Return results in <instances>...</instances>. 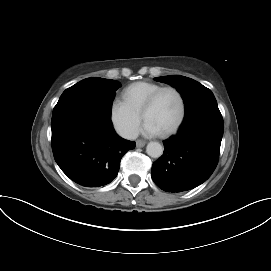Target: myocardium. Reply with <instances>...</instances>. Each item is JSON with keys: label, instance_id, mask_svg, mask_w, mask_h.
<instances>
[{"label": "myocardium", "instance_id": "f54148a6", "mask_svg": "<svg viewBox=\"0 0 271 271\" xmlns=\"http://www.w3.org/2000/svg\"><path fill=\"white\" fill-rule=\"evenodd\" d=\"M165 91H173L177 95L179 99V103H180V112H179V117L177 121L169 130L162 133L163 136H170L174 134L180 128L186 114L185 99H184L183 94L178 88L174 86H164L156 90L145 102L141 111V116L145 120L146 114L153 108L159 96Z\"/></svg>", "mask_w": 271, "mask_h": 271}]
</instances>
